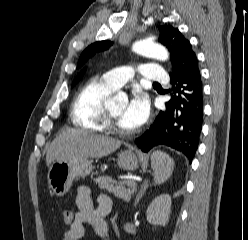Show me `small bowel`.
Listing matches in <instances>:
<instances>
[{
    "mask_svg": "<svg viewBox=\"0 0 248 240\" xmlns=\"http://www.w3.org/2000/svg\"><path fill=\"white\" fill-rule=\"evenodd\" d=\"M75 203L78 211L66 227L62 240H80L85 233V224H89L101 239L108 240V236L98 232L97 226L100 223H106L105 218L110 214L113 206L111 198L100 194L94 205L90 188L82 185L77 188Z\"/></svg>",
    "mask_w": 248,
    "mask_h": 240,
    "instance_id": "small-bowel-1",
    "label": "small bowel"
}]
</instances>
